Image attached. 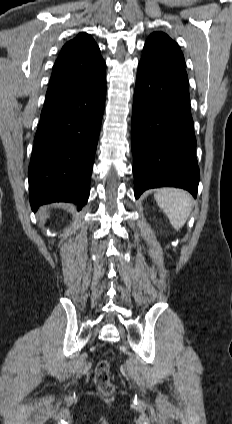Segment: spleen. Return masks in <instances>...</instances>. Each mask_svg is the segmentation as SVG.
<instances>
[{
	"label": "spleen",
	"instance_id": "3e777b00",
	"mask_svg": "<svg viewBox=\"0 0 232 424\" xmlns=\"http://www.w3.org/2000/svg\"><path fill=\"white\" fill-rule=\"evenodd\" d=\"M158 206L165 212L174 229H180L192 209L191 195L178 188H161L154 195Z\"/></svg>",
	"mask_w": 232,
	"mask_h": 424
}]
</instances>
